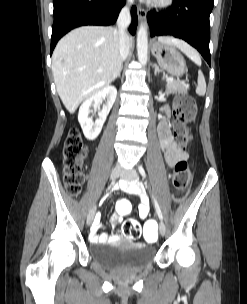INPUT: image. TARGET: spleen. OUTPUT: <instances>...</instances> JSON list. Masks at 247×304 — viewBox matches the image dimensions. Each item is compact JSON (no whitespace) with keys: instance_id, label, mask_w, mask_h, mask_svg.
<instances>
[{"instance_id":"1","label":"spleen","mask_w":247,"mask_h":304,"mask_svg":"<svg viewBox=\"0 0 247 304\" xmlns=\"http://www.w3.org/2000/svg\"><path fill=\"white\" fill-rule=\"evenodd\" d=\"M192 61H194L197 65L201 64V59L198 55V53H191V54H186ZM198 85L196 88V93L199 96H204L206 92V81L205 77L202 73L201 70L198 71Z\"/></svg>"}]
</instances>
